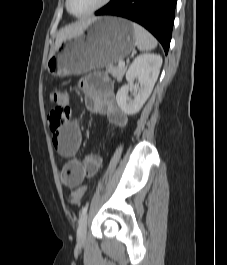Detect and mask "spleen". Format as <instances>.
<instances>
[{"mask_svg":"<svg viewBox=\"0 0 227 265\" xmlns=\"http://www.w3.org/2000/svg\"><path fill=\"white\" fill-rule=\"evenodd\" d=\"M136 38V45L140 51H150L157 46L156 39L137 23H132Z\"/></svg>","mask_w":227,"mask_h":265,"instance_id":"obj_1","label":"spleen"}]
</instances>
